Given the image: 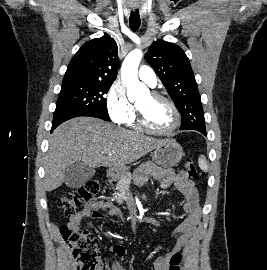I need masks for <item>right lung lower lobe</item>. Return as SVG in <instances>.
Listing matches in <instances>:
<instances>
[{
  "label": "right lung lower lobe",
  "mask_w": 267,
  "mask_h": 270,
  "mask_svg": "<svg viewBox=\"0 0 267 270\" xmlns=\"http://www.w3.org/2000/svg\"><path fill=\"white\" fill-rule=\"evenodd\" d=\"M79 116H88V117H95V118H100L105 121H109L110 118L109 116L99 114V113H86V114H69V113H54V118L52 122V128L51 132L61 123L74 118V117H79Z\"/></svg>",
  "instance_id": "obj_1"
}]
</instances>
